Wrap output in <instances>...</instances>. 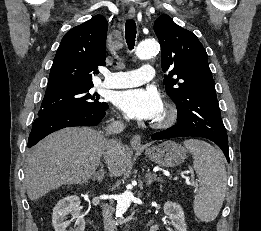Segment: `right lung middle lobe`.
Segmentation results:
<instances>
[{"mask_svg":"<svg viewBox=\"0 0 261 231\" xmlns=\"http://www.w3.org/2000/svg\"><path fill=\"white\" fill-rule=\"evenodd\" d=\"M93 87H53L47 88L38 117H46L70 110L100 109L107 106L99 101V96L89 90Z\"/></svg>","mask_w":261,"mask_h":231,"instance_id":"dd1d6c3e","label":"right lung middle lobe"}]
</instances>
